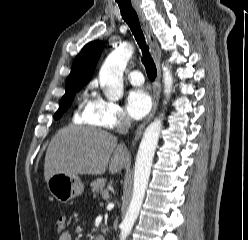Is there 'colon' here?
Listing matches in <instances>:
<instances>
[{
    "label": "colon",
    "instance_id": "obj_1",
    "mask_svg": "<svg viewBox=\"0 0 248 240\" xmlns=\"http://www.w3.org/2000/svg\"><path fill=\"white\" fill-rule=\"evenodd\" d=\"M55 224H56V231L58 233L61 234V233L65 232L66 231V224H67V219H66L65 215H63V214L58 215L56 218Z\"/></svg>",
    "mask_w": 248,
    "mask_h": 240
}]
</instances>
